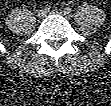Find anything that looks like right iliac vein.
<instances>
[{"label": "right iliac vein", "mask_w": 111, "mask_h": 106, "mask_svg": "<svg viewBox=\"0 0 111 106\" xmlns=\"http://www.w3.org/2000/svg\"><path fill=\"white\" fill-rule=\"evenodd\" d=\"M45 15H46V11H45L44 9H41V10H39V11L37 12V17H38L39 19L44 18Z\"/></svg>", "instance_id": "right-iliac-vein-1"}]
</instances>
